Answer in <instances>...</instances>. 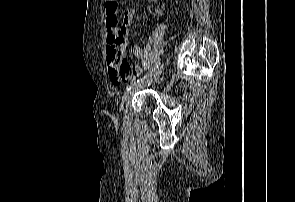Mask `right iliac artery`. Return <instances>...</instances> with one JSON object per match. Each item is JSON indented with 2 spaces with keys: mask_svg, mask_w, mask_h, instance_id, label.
<instances>
[{
  "mask_svg": "<svg viewBox=\"0 0 295 202\" xmlns=\"http://www.w3.org/2000/svg\"><path fill=\"white\" fill-rule=\"evenodd\" d=\"M159 65H160V61H158V62L156 63V67H153V68L151 69V71H150L146 76H144L143 79H141V82L144 81V80H147L149 77H151V76L156 72V70L158 69V66H159ZM138 84H139V80H135V81L131 82V83L126 87V90H130V89H132L134 86H136V85H138Z\"/></svg>",
  "mask_w": 295,
  "mask_h": 202,
  "instance_id": "1",
  "label": "right iliac artery"
}]
</instances>
